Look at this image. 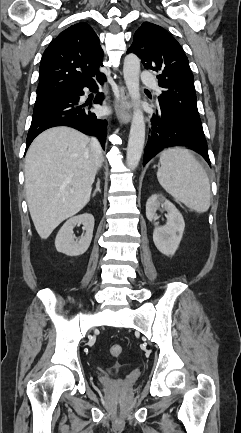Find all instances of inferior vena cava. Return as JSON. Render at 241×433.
<instances>
[{"mask_svg":"<svg viewBox=\"0 0 241 433\" xmlns=\"http://www.w3.org/2000/svg\"><path fill=\"white\" fill-rule=\"evenodd\" d=\"M90 144H91V148L94 152L96 164L98 167H100L101 161H102V148L100 146V143L98 142V140L96 138H92Z\"/></svg>","mask_w":241,"mask_h":433,"instance_id":"1","label":"inferior vena cava"}]
</instances>
